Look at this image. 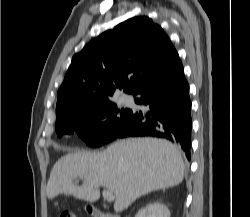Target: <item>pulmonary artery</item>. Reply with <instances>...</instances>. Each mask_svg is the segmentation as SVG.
<instances>
[{"label":"pulmonary artery","instance_id":"e3ab8cb5","mask_svg":"<svg viewBox=\"0 0 250 217\" xmlns=\"http://www.w3.org/2000/svg\"><path fill=\"white\" fill-rule=\"evenodd\" d=\"M120 99L123 101V102H126L128 99L126 96H121Z\"/></svg>","mask_w":250,"mask_h":217}]
</instances>
